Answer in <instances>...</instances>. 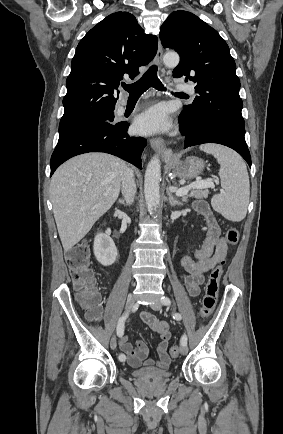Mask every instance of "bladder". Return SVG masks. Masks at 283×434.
I'll return each instance as SVG.
<instances>
[{"instance_id":"bladder-1","label":"bladder","mask_w":283,"mask_h":434,"mask_svg":"<svg viewBox=\"0 0 283 434\" xmlns=\"http://www.w3.org/2000/svg\"><path fill=\"white\" fill-rule=\"evenodd\" d=\"M134 378L138 380H168L172 377L169 370H162L155 367H143L131 371Z\"/></svg>"}]
</instances>
